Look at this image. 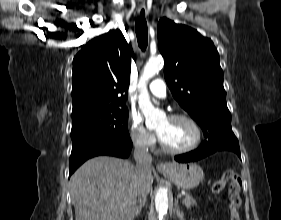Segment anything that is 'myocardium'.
<instances>
[{
  "instance_id": "f54148a6",
  "label": "myocardium",
  "mask_w": 281,
  "mask_h": 220,
  "mask_svg": "<svg viewBox=\"0 0 281 220\" xmlns=\"http://www.w3.org/2000/svg\"><path fill=\"white\" fill-rule=\"evenodd\" d=\"M167 119H169L171 121L184 120V121L189 122L191 124V126L194 128L195 140L188 147L180 148V149H174V148L168 147L164 143V141L161 139V137L158 136L159 144H160V147H161L162 151H164L165 153H168V154L178 155V154H185V153L192 152V151H194L195 149L198 148V146L200 145V143L202 141V131H201L200 125L198 124V122L194 118H192L191 116L186 115V114H172Z\"/></svg>"
}]
</instances>
